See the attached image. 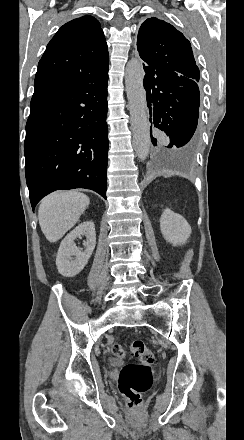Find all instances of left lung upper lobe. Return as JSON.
<instances>
[{"label": "left lung upper lobe", "mask_w": 244, "mask_h": 440, "mask_svg": "<svg viewBox=\"0 0 244 440\" xmlns=\"http://www.w3.org/2000/svg\"><path fill=\"white\" fill-rule=\"evenodd\" d=\"M137 49L144 67L170 70L178 76L199 81V68L191 44L171 24L158 18H148L140 26Z\"/></svg>", "instance_id": "left-lung-upper-lobe-1"}]
</instances>
